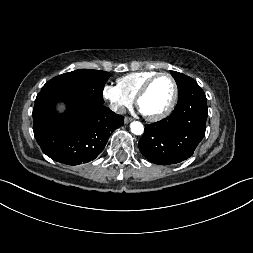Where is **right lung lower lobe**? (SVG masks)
Masks as SVG:
<instances>
[{
	"label": "right lung lower lobe",
	"instance_id": "98d812e1",
	"mask_svg": "<svg viewBox=\"0 0 253 253\" xmlns=\"http://www.w3.org/2000/svg\"><path fill=\"white\" fill-rule=\"evenodd\" d=\"M57 101L67 104L63 115L54 110ZM34 136L51 159L78 165L95 159L124 117L97 100L58 91H41L33 108Z\"/></svg>",
	"mask_w": 253,
	"mask_h": 253
}]
</instances>
